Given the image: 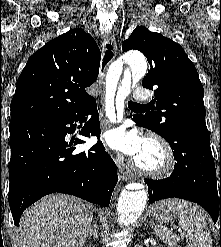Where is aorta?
<instances>
[{"label": "aorta", "mask_w": 221, "mask_h": 247, "mask_svg": "<svg viewBox=\"0 0 221 247\" xmlns=\"http://www.w3.org/2000/svg\"><path fill=\"white\" fill-rule=\"evenodd\" d=\"M124 64L128 67L127 77L132 78L133 81L142 78L147 70L146 59L139 52H128L123 60L110 66L106 76V111L110 118L115 113L114 97ZM146 201L147 193L144 189L137 191L123 190L117 204L119 224L128 226L135 222L144 210Z\"/></svg>", "instance_id": "762f6f07"}]
</instances>
